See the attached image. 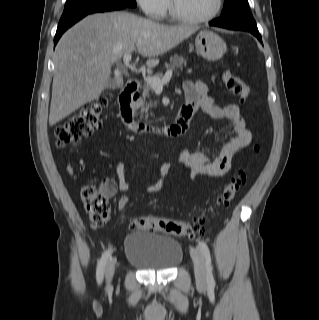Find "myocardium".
Here are the masks:
<instances>
[{
  "label": "myocardium",
  "mask_w": 319,
  "mask_h": 320,
  "mask_svg": "<svg viewBox=\"0 0 319 320\" xmlns=\"http://www.w3.org/2000/svg\"><path fill=\"white\" fill-rule=\"evenodd\" d=\"M222 7H223V0H216L215 9L209 15L204 16V17H188V16H185V15H182L181 13H179L175 7L173 0H169L170 16L175 21H178L181 23L202 24V23L210 22L218 16V14L222 10Z\"/></svg>",
  "instance_id": "f54148a6"
}]
</instances>
